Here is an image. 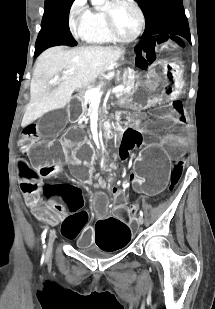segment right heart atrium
Returning a JSON list of instances; mask_svg holds the SVG:
<instances>
[{"label": "right heart atrium", "mask_w": 215, "mask_h": 309, "mask_svg": "<svg viewBox=\"0 0 215 309\" xmlns=\"http://www.w3.org/2000/svg\"><path fill=\"white\" fill-rule=\"evenodd\" d=\"M74 7H85V0H74ZM92 18V14H85L84 11L72 8L69 15V21L73 33L76 36H80L81 32L79 29H84L86 25H89Z\"/></svg>", "instance_id": "d8ad5b80"}]
</instances>
